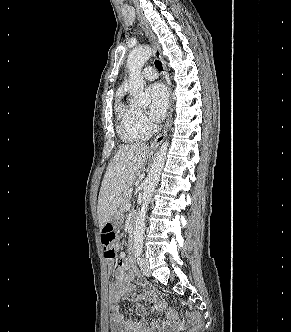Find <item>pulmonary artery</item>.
Wrapping results in <instances>:
<instances>
[{"label":"pulmonary artery","instance_id":"obj_1","mask_svg":"<svg viewBox=\"0 0 291 332\" xmlns=\"http://www.w3.org/2000/svg\"><path fill=\"white\" fill-rule=\"evenodd\" d=\"M142 76L144 79L152 81L157 79L158 74L157 71L155 70V68L148 66L146 68H144L143 72H142Z\"/></svg>","mask_w":291,"mask_h":332}]
</instances>
